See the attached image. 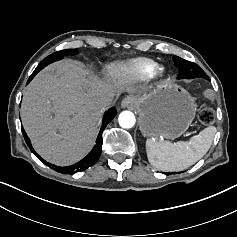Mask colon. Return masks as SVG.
<instances>
[{
    "mask_svg": "<svg viewBox=\"0 0 237 237\" xmlns=\"http://www.w3.org/2000/svg\"><path fill=\"white\" fill-rule=\"evenodd\" d=\"M205 97L213 102L215 100V94L212 90L205 91ZM199 120L203 125H211L215 120L214 110L210 107L203 108L199 113Z\"/></svg>",
    "mask_w": 237,
    "mask_h": 237,
    "instance_id": "obj_1",
    "label": "colon"
}]
</instances>
